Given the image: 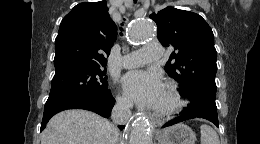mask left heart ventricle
I'll list each match as a JSON object with an SVG mask.
<instances>
[{"instance_id":"b2bd125f","label":"left heart ventricle","mask_w":260,"mask_h":144,"mask_svg":"<svg viewBox=\"0 0 260 144\" xmlns=\"http://www.w3.org/2000/svg\"><path fill=\"white\" fill-rule=\"evenodd\" d=\"M170 102L171 101H170L169 94L164 87L159 100L155 104V108H162V107L168 106L170 104Z\"/></svg>"}]
</instances>
